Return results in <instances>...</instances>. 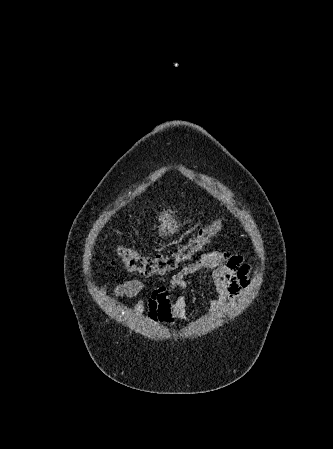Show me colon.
I'll use <instances>...</instances> for the list:
<instances>
[{"label":"colon","mask_w":333,"mask_h":449,"mask_svg":"<svg viewBox=\"0 0 333 449\" xmlns=\"http://www.w3.org/2000/svg\"><path fill=\"white\" fill-rule=\"evenodd\" d=\"M222 227L223 222L216 220L206 228L199 230L195 236L176 250L164 254L149 257L131 248L123 247L118 250V256L129 271L146 276L164 274L176 269L180 263L189 260L212 237L219 233Z\"/></svg>","instance_id":"colon-1"}]
</instances>
